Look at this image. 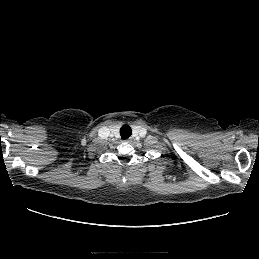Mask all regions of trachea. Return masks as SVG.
<instances>
[{"label": "trachea", "instance_id": "3493384b", "mask_svg": "<svg viewBox=\"0 0 259 259\" xmlns=\"http://www.w3.org/2000/svg\"><path fill=\"white\" fill-rule=\"evenodd\" d=\"M132 134L131 127L129 125H123L120 129V135L122 139H128Z\"/></svg>", "mask_w": 259, "mask_h": 259}]
</instances>
